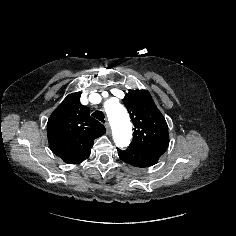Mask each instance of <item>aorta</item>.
<instances>
[{
  "label": "aorta",
  "mask_w": 236,
  "mask_h": 236,
  "mask_svg": "<svg viewBox=\"0 0 236 236\" xmlns=\"http://www.w3.org/2000/svg\"><path fill=\"white\" fill-rule=\"evenodd\" d=\"M105 111L111 124L116 146L127 147L132 137V124L126 109L120 103L109 100L105 104Z\"/></svg>",
  "instance_id": "762f6f07"
}]
</instances>
